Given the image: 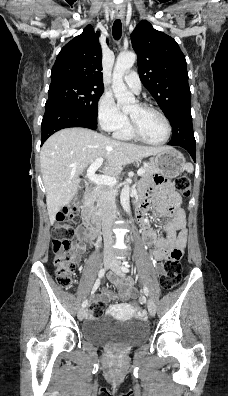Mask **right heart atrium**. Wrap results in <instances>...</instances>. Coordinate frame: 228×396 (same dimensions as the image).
I'll return each mask as SVG.
<instances>
[{"label":"right heart atrium","mask_w":228,"mask_h":396,"mask_svg":"<svg viewBox=\"0 0 228 396\" xmlns=\"http://www.w3.org/2000/svg\"><path fill=\"white\" fill-rule=\"evenodd\" d=\"M97 119L101 128L107 132H116L128 126L127 117L120 112L109 93H104L99 99Z\"/></svg>","instance_id":"obj_1"}]
</instances>
